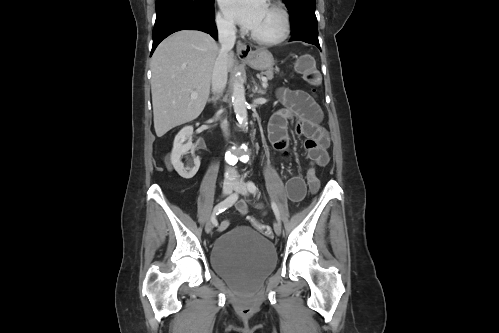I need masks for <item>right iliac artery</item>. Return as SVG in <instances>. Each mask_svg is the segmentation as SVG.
Wrapping results in <instances>:
<instances>
[{"label": "right iliac artery", "instance_id": "obj_1", "mask_svg": "<svg viewBox=\"0 0 499 333\" xmlns=\"http://www.w3.org/2000/svg\"><path fill=\"white\" fill-rule=\"evenodd\" d=\"M238 199V194L233 193L227 197L224 201L220 202L214 207L213 213L211 215V221L214 223L216 221V216L231 207Z\"/></svg>", "mask_w": 499, "mask_h": 333}]
</instances>
